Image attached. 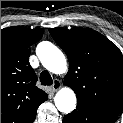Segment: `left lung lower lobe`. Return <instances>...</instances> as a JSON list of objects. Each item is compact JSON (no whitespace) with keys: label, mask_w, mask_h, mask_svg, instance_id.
Segmentation results:
<instances>
[{"label":"left lung lower lobe","mask_w":123,"mask_h":123,"mask_svg":"<svg viewBox=\"0 0 123 123\" xmlns=\"http://www.w3.org/2000/svg\"><path fill=\"white\" fill-rule=\"evenodd\" d=\"M118 114L77 102L76 110L63 118V123H114Z\"/></svg>","instance_id":"obj_1"}]
</instances>
